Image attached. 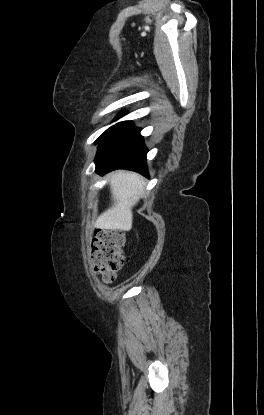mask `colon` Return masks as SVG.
Instances as JSON below:
<instances>
[{
	"instance_id": "1",
	"label": "colon",
	"mask_w": 264,
	"mask_h": 415,
	"mask_svg": "<svg viewBox=\"0 0 264 415\" xmlns=\"http://www.w3.org/2000/svg\"><path fill=\"white\" fill-rule=\"evenodd\" d=\"M125 234L122 231L98 229L92 241L93 268L104 282H113L125 264L123 246Z\"/></svg>"
}]
</instances>
